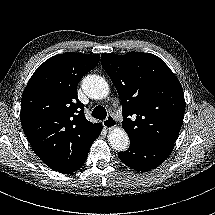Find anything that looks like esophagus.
Segmentation results:
<instances>
[{
  "mask_svg": "<svg viewBox=\"0 0 215 215\" xmlns=\"http://www.w3.org/2000/svg\"><path fill=\"white\" fill-rule=\"evenodd\" d=\"M103 126L107 130H112L117 126V121L112 115H108L107 118L102 122Z\"/></svg>",
  "mask_w": 215,
  "mask_h": 215,
  "instance_id": "34e87169",
  "label": "esophagus"
}]
</instances>
